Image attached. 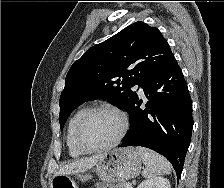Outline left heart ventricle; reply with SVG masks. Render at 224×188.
I'll return each instance as SVG.
<instances>
[{
    "label": "left heart ventricle",
    "mask_w": 224,
    "mask_h": 188,
    "mask_svg": "<svg viewBox=\"0 0 224 188\" xmlns=\"http://www.w3.org/2000/svg\"><path fill=\"white\" fill-rule=\"evenodd\" d=\"M121 129L119 118L109 112H96L85 122L81 131L82 142L98 147L113 141Z\"/></svg>",
    "instance_id": "obj_1"
}]
</instances>
